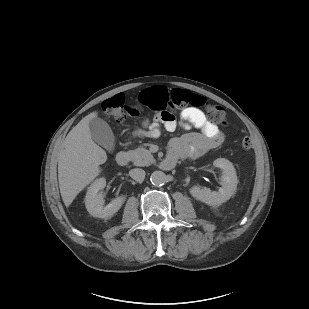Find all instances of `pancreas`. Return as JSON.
Returning <instances> with one entry per match:
<instances>
[{
	"mask_svg": "<svg viewBox=\"0 0 309 309\" xmlns=\"http://www.w3.org/2000/svg\"><path fill=\"white\" fill-rule=\"evenodd\" d=\"M128 155L135 166H149L154 162L151 152L143 147L128 151Z\"/></svg>",
	"mask_w": 309,
	"mask_h": 309,
	"instance_id": "cf45deb5",
	"label": "pancreas"
}]
</instances>
